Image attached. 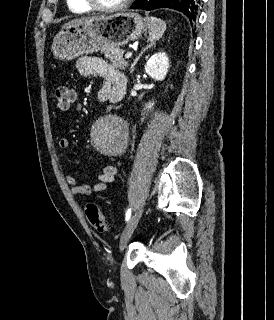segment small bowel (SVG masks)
<instances>
[{
    "label": "small bowel",
    "instance_id": "1",
    "mask_svg": "<svg viewBox=\"0 0 274 320\" xmlns=\"http://www.w3.org/2000/svg\"><path fill=\"white\" fill-rule=\"evenodd\" d=\"M78 72L83 76H99L103 80L101 92L106 93L110 103L120 101L126 92V79L124 75L109 65L104 60L93 56H82L77 60ZM60 148L65 149L69 145L66 138H61L58 142ZM118 165L108 164L101 168L97 182L94 185L80 184L76 177L65 174V181L71 186L70 192L73 196H90L93 193H101L107 189L117 174Z\"/></svg>",
    "mask_w": 274,
    "mask_h": 320
}]
</instances>
